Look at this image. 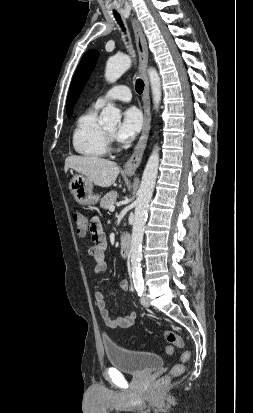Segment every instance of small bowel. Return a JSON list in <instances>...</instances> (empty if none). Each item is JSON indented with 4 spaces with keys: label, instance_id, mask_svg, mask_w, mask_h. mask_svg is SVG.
Returning <instances> with one entry per match:
<instances>
[{
    "label": "small bowel",
    "instance_id": "1",
    "mask_svg": "<svg viewBox=\"0 0 253 413\" xmlns=\"http://www.w3.org/2000/svg\"><path fill=\"white\" fill-rule=\"evenodd\" d=\"M89 229L93 241V246L89 249V254L94 260V272L98 275L103 274L107 269L105 260L106 237L102 228L101 221L98 217H94L89 223ZM119 287L122 290H127L129 285L126 280L119 282ZM94 300L99 313L108 328H129L136 323L137 313L132 311L126 316L112 317L107 306L105 297L101 291L94 293Z\"/></svg>",
    "mask_w": 253,
    "mask_h": 413
}]
</instances>
